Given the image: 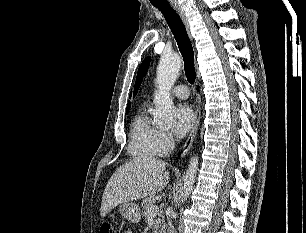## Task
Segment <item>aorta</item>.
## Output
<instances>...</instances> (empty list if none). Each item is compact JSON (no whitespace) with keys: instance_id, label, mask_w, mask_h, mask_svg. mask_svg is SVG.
Listing matches in <instances>:
<instances>
[{"instance_id":"obj_1","label":"aorta","mask_w":306,"mask_h":233,"mask_svg":"<svg viewBox=\"0 0 306 233\" xmlns=\"http://www.w3.org/2000/svg\"><path fill=\"white\" fill-rule=\"evenodd\" d=\"M181 68V59L177 54L163 55L157 67L154 121L160 128L169 127L173 120V101L170 90L174 85ZM198 170V156L191 157L183 177L180 192L182 202L187 200L195 182Z\"/></svg>"}]
</instances>
